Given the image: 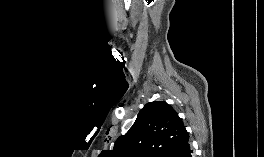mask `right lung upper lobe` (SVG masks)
<instances>
[{"label":"right lung upper lobe","instance_id":"obj_1","mask_svg":"<svg viewBox=\"0 0 264 157\" xmlns=\"http://www.w3.org/2000/svg\"><path fill=\"white\" fill-rule=\"evenodd\" d=\"M182 119L165 101L147 103L129 131L120 136L109 157H172L188 143ZM101 156V155H100Z\"/></svg>","mask_w":264,"mask_h":157}]
</instances>
